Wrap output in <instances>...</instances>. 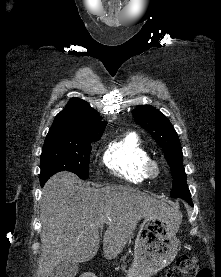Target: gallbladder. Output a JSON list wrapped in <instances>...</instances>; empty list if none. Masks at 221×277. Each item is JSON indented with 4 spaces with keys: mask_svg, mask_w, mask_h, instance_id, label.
Returning <instances> with one entry per match:
<instances>
[{
    "mask_svg": "<svg viewBox=\"0 0 221 277\" xmlns=\"http://www.w3.org/2000/svg\"><path fill=\"white\" fill-rule=\"evenodd\" d=\"M79 265L70 261H63L58 264L50 277H75L78 272Z\"/></svg>",
    "mask_w": 221,
    "mask_h": 277,
    "instance_id": "obj_1",
    "label": "gallbladder"
}]
</instances>
